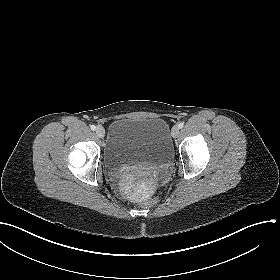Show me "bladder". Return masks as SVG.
I'll return each instance as SVG.
<instances>
[{"label": "bladder", "instance_id": "bladder-1", "mask_svg": "<svg viewBox=\"0 0 280 280\" xmlns=\"http://www.w3.org/2000/svg\"><path fill=\"white\" fill-rule=\"evenodd\" d=\"M172 157L167 122L159 117H124L109 126L102 161L115 171L128 164H161Z\"/></svg>", "mask_w": 280, "mask_h": 280}]
</instances>
